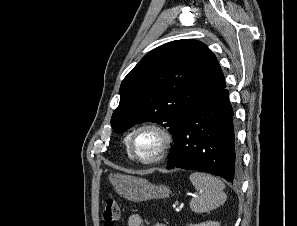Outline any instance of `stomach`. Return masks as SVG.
<instances>
[{
  "label": "stomach",
  "mask_w": 297,
  "mask_h": 226,
  "mask_svg": "<svg viewBox=\"0 0 297 226\" xmlns=\"http://www.w3.org/2000/svg\"><path fill=\"white\" fill-rule=\"evenodd\" d=\"M109 180L119 195L134 202L168 197L171 192L165 185H155L129 175L114 174L109 176Z\"/></svg>",
  "instance_id": "1"
}]
</instances>
